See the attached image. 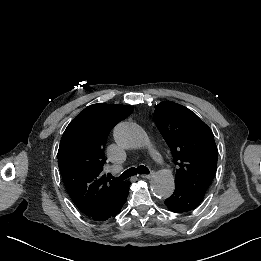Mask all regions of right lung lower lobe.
Masks as SVG:
<instances>
[{"label": "right lung lower lobe", "mask_w": 261, "mask_h": 261, "mask_svg": "<svg viewBox=\"0 0 261 261\" xmlns=\"http://www.w3.org/2000/svg\"><path fill=\"white\" fill-rule=\"evenodd\" d=\"M128 188L129 184L126 187V190L122 192V194L118 195L114 201L106 202L105 204L100 205L92 215L88 216V218L95 221H104L108 218L116 216L126 202Z\"/></svg>", "instance_id": "98d812e1"}]
</instances>
